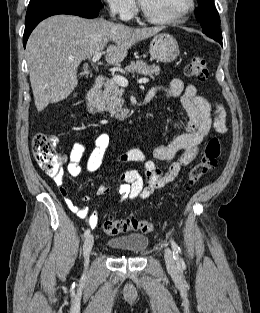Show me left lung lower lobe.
<instances>
[{
    "mask_svg": "<svg viewBox=\"0 0 260 313\" xmlns=\"http://www.w3.org/2000/svg\"><path fill=\"white\" fill-rule=\"evenodd\" d=\"M214 40H216L217 42H219L222 45V39L215 38Z\"/></svg>",
    "mask_w": 260,
    "mask_h": 313,
    "instance_id": "0a47b994",
    "label": "left lung lower lobe"
}]
</instances>
